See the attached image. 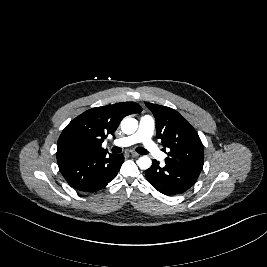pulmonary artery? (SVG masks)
<instances>
[{"label": "pulmonary artery", "instance_id": "e3ab8cb5", "mask_svg": "<svg viewBox=\"0 0 267 267\" xmlns=\"http://www.w3.org/2000/svg\"><path fill=\"white\" fill-rule=\"evenodd\" d=\"M155 128V120L151 115H144L139 121L137 131L129 136L116 139L112 145L127 147L136 143H142L149 153L157 159H164V155L159 151L156 144L152 141Z\"/></svg>", "mask_w": 267, "mask_h": 267}]
</instances>
